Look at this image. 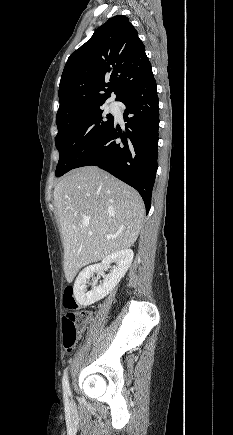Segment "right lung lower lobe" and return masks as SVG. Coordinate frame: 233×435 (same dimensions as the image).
<instances>
[{
  "label": "right lung lower lobe",
  "instance_id": "right-lung-lower-lobe-1",
  "mask_svg": "<svg viewBox=\"0 0 233 435\" xmlns=\"http://www.w3.org/2000/svg\"><path fill=\"white\" fill-rule=\"evenodd\" d=\"M120 102L125 104V128L113 122L75 168L93 165L111 173L140 193L148 213L158 167L159 107L153 73L132 86Z\"/></svg>",
  "mask_w": 233,
  "mask_h": 435
}]
</instances>
